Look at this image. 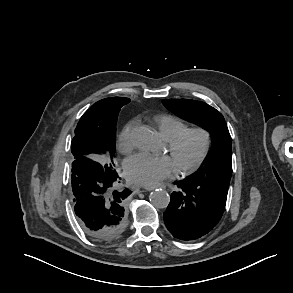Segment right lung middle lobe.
<instances>
[{"label": "right lung middle lobe", "instance_id": "dd1d6c3e", "mask_svg": "<svg viewBox=\"0 0 293 293\" xmlns=\"http://www.w3.org/2000/svg\"><path fill=\"white\" fill-rule=\"evenodd\" d=\"M121 107L122 105L112 107L104 119L105 125L100 126L99 121H79L71 143L73 156L94 153L96 161L105 168H115V128Z\"/></svg>", "mask_w": 293, "mask_h": 293}]
</instances>
